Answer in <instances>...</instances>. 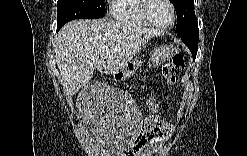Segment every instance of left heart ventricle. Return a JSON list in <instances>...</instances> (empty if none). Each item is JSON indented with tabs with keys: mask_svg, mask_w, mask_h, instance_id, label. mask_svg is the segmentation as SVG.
I'll return each mask as SVG.
<instances>
[{
	"mask_svg": "<svg viewBox=\"0 0 247 156\" xmlns=\"http://www.w3.org/2000/svg\"><path fill=\"white\" fill-rule=\"evenodd\" d=\"M148 14L150 18L158 24H168L172 19L171 9L163 0L152 1Z\"/></svg>",
	"mask_w": 247,
	"mask_h": 156,
	"instance_id": "1",
	"label": "left heart ventricle"
}]
</instances>
